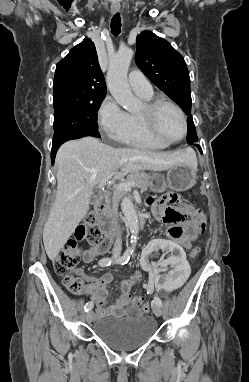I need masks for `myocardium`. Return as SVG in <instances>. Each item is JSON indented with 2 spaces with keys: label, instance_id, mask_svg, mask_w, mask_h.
Wrapping results in <instances>:
<instances>
[{
  "label": "myocardium",
  "instance_id": "myocardium-1",
  "mask_svg": "<svg viewBox=\"0 0 249 382\" xmlns=\"http://www.w3.org/2000/svg\"><path fill=\"white\" fill-rule=\"evenodd\" d=\"M167 105L172 108H174L183 123V134L177 138V139H170L165 137L159 130L156 122V115L158 109L163 106ZM146 130L150 133L151 136H153L156 140L161 141L166 144H175L180 141H182L187 133H188V122H187V117L186 114L184 113L183 109L175 102L168 100V99H163V98H158V99H153L145 103L144 105V110L139 114Z\"/></svg>",
  "mask_w": 249,
  "mask_h": 382
}]
</instances>
